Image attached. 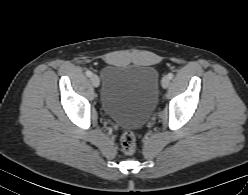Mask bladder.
I'll list each match as a JSON object with an SVG mask.
<instances>
[{
  "label": "bladder",
  "mask_w": 248,
  "mask_h": 195,
  "mask_svg": "<svg viewBox=\"0 0 248 195\" xmlns=\"http://www.w3.org/2000/svg\"><path fill=\"white\" fill-rule=\"evenodd\" d=\"M158 85L153 66L109 65L102 73L101 106L120 126L141 127L156 106Z\"/></svg>",
  "instance_id": "obj_1"
}]
</instances>
